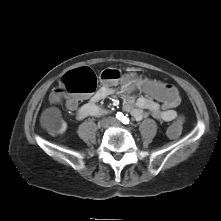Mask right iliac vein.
I'll return each instance as SVG.
<instances>
[{"label": "right iliac vein", "mask_w": 221, "mask_h": 221, "mask_svg": "<svg viewBox=\"0 0 221 221\" xmlns=\"http://www.w3.org/2000/svg\"><path fill=\"white\" fill-rule=\"evenodd\" d=\"M109 124H110V120L104 119V120H102V121L100 122L99 125H100L101 127H103V128H106V127L109 126Z\"/></svg>", "instance_id": "obj_1"}]
</instances>
